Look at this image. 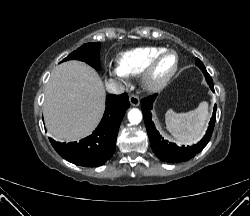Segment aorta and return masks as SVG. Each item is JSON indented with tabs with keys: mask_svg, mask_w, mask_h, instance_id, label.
<instances>
[{
	"mask_svg": "<svg viewBox=\"0 0 250 216\" xmlns=\"http://www.w3.org/2000/svg\"><path fill=\"white\" fill-rule=\"evenodd\" d=\"M128 120L131 124H139L142 120V113L139 109H131L128 112Z\"/></svg>",
	"mask_w": 250,
	"mask_h": 216,
	"instance_id": "obj_1",
	"label": "aorta"
}]
</instances>
